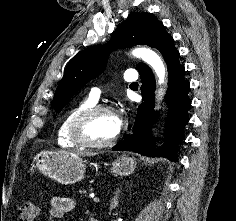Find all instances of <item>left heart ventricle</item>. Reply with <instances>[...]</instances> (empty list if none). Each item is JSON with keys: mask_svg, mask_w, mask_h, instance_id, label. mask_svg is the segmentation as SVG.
Wrapping results in <instances>:
<instances>
[{"mask_svg": "<svg viewBox=\"0 0 236 221\" xmlns=\"http://www.w3.org/2000/svg\"><path fill=\"white\" fill-rule=\"evenodd\" d=\"M113 114L100 113L93 117L86 126V135L93 141H107L117 134Z\"/></svg>", "mask_w": 236, "mask_h": 221, "instance_id": "1", "label": "left heart ventricle"}]
</instances>
